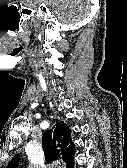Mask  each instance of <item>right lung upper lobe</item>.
<instances>
[{"label": "right lung upper lobe", "mask_w": 127, "mask_h": 168, "mask_svg": "<svg viewBox=\"0 0 127 168\" xmlns=\"http://www.w3.org/2000/svg\"><path fill=\"white\" fill-rule=\"evenodd\" d=\"M71 130L63 121H57L56 125L43 134L42 144L46 161L51 162L61 156L70 168L74 163V144L70 137ZM60 149H57V146ZM19 162V156H15L7 165V168H15Z\"/></svg>", "instance_id": "1"}]
</instances>
